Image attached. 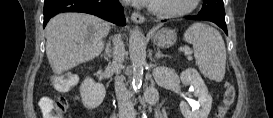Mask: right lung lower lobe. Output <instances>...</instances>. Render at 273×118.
<instances>
[{
  "label": "right lung lower lobe",
  "instance_id": "98d812e1",
  "mask_svg": "<svg viewBox=\"0 0 273 118\" xmlns=\"http://www.w3.org/2000/svg\"><path fill=\"white\" fill-rule=\"evenodd\" d=\"M61 12L93 14L120 26L126 25L124 9L118 0H45L43 27Z\"/></svg>",
  "mask_w": 273,
  "mask_h": 118
}]
</instances>
